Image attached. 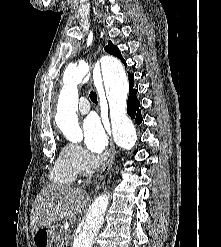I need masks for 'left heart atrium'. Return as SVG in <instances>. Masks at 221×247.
Segmentation results:
<instances>
[{
  "instance_id": "obj_1",
  "label": "left heart atrium",
  "mask_w": 221,
  "mask_h": 247,
  "mask_svg": "<svg viewBox=\"0 0 221 247\" xmlns=\"http://www.w3.org/2000/svg\"><path fill=\"white\" fill-rule=\"evenodd\" d=\"M84 143L93 153H101L107 146L108 138L98 118L89 116L82 125Z\"/></svg>"
}]
</instances>
